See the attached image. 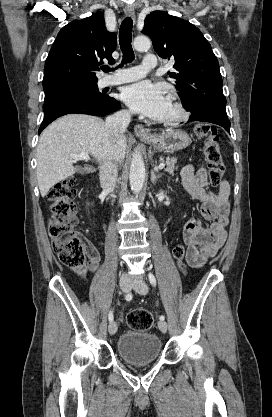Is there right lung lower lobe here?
Segmentation results:
<instances>
[{
	"label": "right lung lower lobe",
	"instance_id": "98d812e1",
	"mask_svg": "<svg viewBox=\"0 0 272 417\" xmlns=\"http://www.w3.org/2000/svg\"><path fill=\"white\" fill-rule=\"evenodd\" d=\"M106 99L94 101L90 99L73 98L59 101L44 110L45 117L39 128V133L43 131L56 118L70 114L80 113L95 116H105L120 108V104L113 97L106 94Z\"/></svg>",
	"mask_w": 272,
	"mask_h": 417
}]
</instances>
